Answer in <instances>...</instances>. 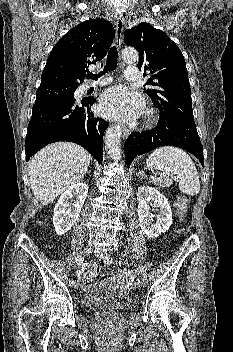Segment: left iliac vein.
I'll use <instances>...</instances> for the list:
<instances>
[{"instance_id": "4c4485c4", "label": "left iliac vein", "mask_w": 233, "mask_h": 352, "mask_svg": "<svg viewBox=\"0 0 233 352\" xmlns=\"http://www.w3.org/2000/svg\"><path fill=\"white\" fill-rule=\"evenodd\" d=\"M94 253H95V256H97L98 258H104V256H106L107 254V249L96 248ZM140 284L141 286L145 287V285L147 284V278L143 276L140 280Z\"/></svg>"}]
</instances>
